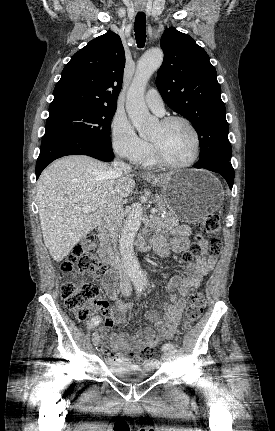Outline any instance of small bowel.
I'll return each mask as SVG.
<instances>
[{
  "label": "small bowel",
  "mask_w": 275,
  "mask_h": 431,
  "mask_svg": "<svg viewBox=\"0 0 275 431\" xmlns=\"http://www.w3.org/2000/svg\"><path fill=\"white\" fill-rule=\"evenodd\" d=\"M163 230L172 236L168 242L164 235L156 232L153 244L156 252L167 256L170 251L180 253L189 248V237L192 228L169 218L163 223ZM199 246L206 250L207 242L198 234ZM216 260L213 256L198 259L187 267V276H173L168 282V288L172 292L170 301L161 306L163 318L155 310H147L145 318L154 328L141 327L134 336L128 334L108 333L114 326L124 323L126 319L127 305L119 298L116 290L117 277L114 272H107L102 279V286L108 297L115 302L112 308L107 304L102 309L105 316V324L102 328L101 351L110 363L139 362V353L146 348H153L159 342L170 340L174 336L186 306V298L189 297L200 285L204 276L209 274Z\"/></svg>",
  "instance_id": "small-bowel-1"
}]
</instances>
